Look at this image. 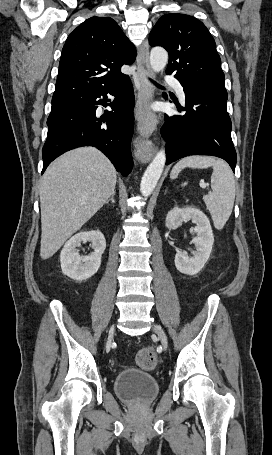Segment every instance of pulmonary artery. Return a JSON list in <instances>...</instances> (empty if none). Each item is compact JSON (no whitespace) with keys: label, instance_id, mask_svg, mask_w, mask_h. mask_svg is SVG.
I'll list each match as a JSON object with an SVG mask.
<instances>
[{"label":"pulmonary artery","instance_id":"pulmonary-artery-1","mask_svg":"<svg viewBox=\"0 0 272 455\" xmlns=\"http://www.w3.org/2000/svg\"><path fill=\"white\" fill-rule=\"evenodd\" d=\"M165 81L172 85L182 101L185 100V93L181 83L173 76H166Z\"/></svg>","mask_w":272,"mask_h":455}]
</instances>
